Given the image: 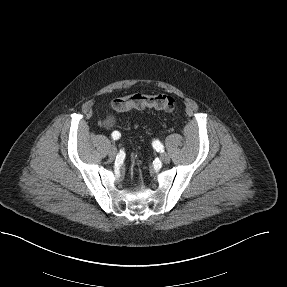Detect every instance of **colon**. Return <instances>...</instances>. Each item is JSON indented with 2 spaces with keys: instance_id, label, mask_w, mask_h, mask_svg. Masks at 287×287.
<instances>
[{
  "instance_id": "5ec220e1",
  "label": "colon",
  "mask_w": 287,
  "mask_h": 287,
  "mask_svg": "<svg viewBox=\"0 0 287 287\" xmlns=\"http://www.w3.org/2000/svg\"><path fill=\"white\" fill-rule=\"evenodd\" d=\"M112 108L116 113H123L131 109L146 108L173 111L175 100L167 94L147 95L135 93L114 99L112 101Z\"/></svg>"
}]
</instances>
